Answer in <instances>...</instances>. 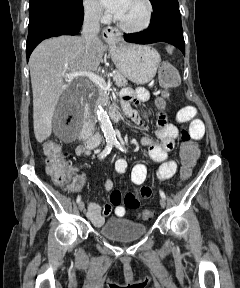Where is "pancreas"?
I'll use <instances>...</instances> for the list:
<instances>
[{
    "label": "pancreas",
    "mask_w": 240,
    "mask_h": 288,
    "mask_svg": "<svg viewBox=\"0 0 240 288\" xmlns=\"http://www.w3.org/2000/svg\"><path fill=\"white\" fill-rule=\"evenodd\" d=\"M112 75L113 80L118 87H125L128 85V80L119 71H114ZM89 88L93 91V93L98 94V100L101 103L109 104V93L107 90L92 83L89 85ZM87 105L90 106V102H87Z\"/></svg>",
    "instance_id": "cf45deb5"
}]
</instances>
